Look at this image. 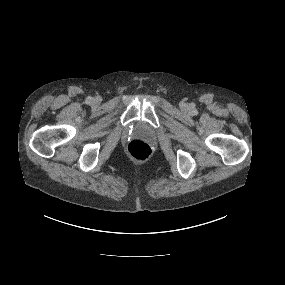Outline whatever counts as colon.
Wrapping results in <instances>:
<instances>
[{
	"label": "colon",
	"mask_w": 285,
	"mask_h": 285,
	"mask_svg": "<svg viewBox=\"0 0 285 285\" xmlns=\"http://www.w3.org/2000/svg\"><path fill=\"white\" fill-rule=\"evenodd\" d=\"M130 156L139 161L146 160L151 155V147L142 140H133L128 146Z\"/></svg>",
	"instance_id": "colon-1"
}]
</instances>
